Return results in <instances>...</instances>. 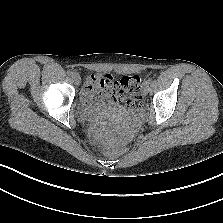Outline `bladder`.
<instances>
[{
	"instance_id": "1",
	"label": "bladder",
	"mask_w": 223,
	"mask_h": 223,
	"mask_svg": "<svg viewBox=\"0 0 223 223\" xmlns=\"http://www.w3.org/2000/svg\"><path fill=\"white\" fill-rule=\"evenodd\" d=\"M95 108L100 111H104L107 113H119V106L115 104H109V103H97L95 104Z\"/></svg>"
}]
</instances>
